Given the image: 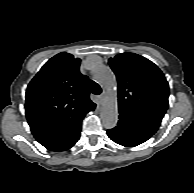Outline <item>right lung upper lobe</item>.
<instances>
[{
  "label": "right lung upper lobe",
  "instance_id": "1",
  "mask_svg": "<svg viewBox=\"0 0 194 193\" xmlns=\"http://www.w3.org/2000/svg\"><path fill=\"white\" fill-rule=\"evenodd\" d=\"M79 66V58L59 53L29 83L25 112L33 135L56 129L94 110L88 77L79 72Z\"/></svg>",
  "mask_w": 194,
  "mask_h": 193
}]
</instances>
